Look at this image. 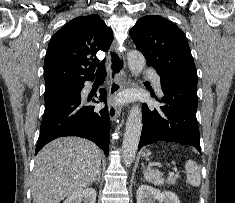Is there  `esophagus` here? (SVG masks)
<instances>
[{
	"label": "esophagus",
	"mask_w": 235,
	"mask_h": 203,
	"mask_svg": "<svg viewBox=\"0 0 235 203\" xmlns=\"http://www.w3.org/2000/svg\"><path fill=\"white\" fill-rule=\"evenodd\" d=\"M117 43L114 41L109 50L111 61L110 68V87L108 95V112L112 121L121 114V106L116 103V95L122 91L127 84V75L125 73L126 63L124 54L118 51Z\"/></svg>",
	"instance_id": "34e87169"
}]
</instances>
